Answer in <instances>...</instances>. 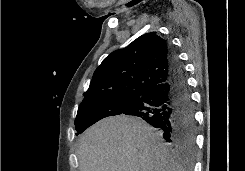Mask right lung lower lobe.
I'll use <instances>...</instances> for the list:
<instances>
[{"label":"right lung lower lobe","mask_w":245,"mask_h":171,"mask_svg":"<svg viewBox=\"0 0 245 171\" xmlns=\"http://www.w3.org/2000/svg\"><path fill=\"white\" fill-rule=\"evenodd\" d=\"M169 78L125 107L122 114L138 116L157 128L175 152L191 157L195 151L194 106L185 72L170 46Z\"/></svg>","instance_id":"1"}]
</instances>
